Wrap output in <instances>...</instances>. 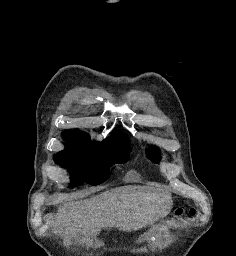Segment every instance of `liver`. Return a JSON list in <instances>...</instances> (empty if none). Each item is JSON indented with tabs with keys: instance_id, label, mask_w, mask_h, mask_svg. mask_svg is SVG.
<instances>
[{
	"instance_id": "liver-1",
	"label": "liver",
	"mask_w": 236,
	"mask_h": 256,
	"mask_svg": "<svg viewBox=\"0 0 236 256\" xmlns=\"http://www.w3.org/2000/svg\"><path fill=\"white\" fill-rule=\"evenodd\" d=\"M171 210V196L150 186H122L59 206L55 216L64 234L82 236L86 246L103 228L139 230L152 222L154 216H167Z\"/></svg>"
}]
</instances>
